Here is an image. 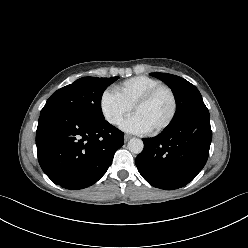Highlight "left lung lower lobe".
<instances>
[{
    "label": "left lung lower lobe",
    "mask_w": 248,
    "mask_h": 248,
    "mask_svg": "<svg viewBox=\"0 0 248 248\" xmlns=\"http://www.w3.org/2000/svg\"><path fill=\"white\" fill-rule=\"evenodd\" d=\"M212 140L209 111L197 112L143 139L136 158L142 177L151 185L173 190L192 181L205 166Z\"/></svg>",
    "instance_id": "1"
}]
</instances>
